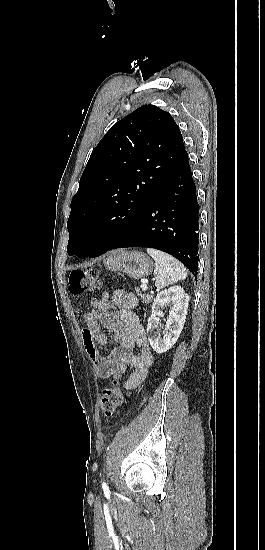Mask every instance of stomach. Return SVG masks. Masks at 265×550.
Wrapping results in <instances>:
<instances>
[{"instance_id":"1","label":"stomach","mask_w":265,"mask_h":550,"mask_svg":"<svg viewBox=\"0 0 265 550\" xmlns=\"http://www.w3.org/2000/svg\"><path fill=\"white\" fill-rule=\"evenodd\" d=\"M104 266L109 271H121L134 279L146 277L153 270L150 258L139 251L116 250L104 259Z\"/></svg>"}]
</instances>
